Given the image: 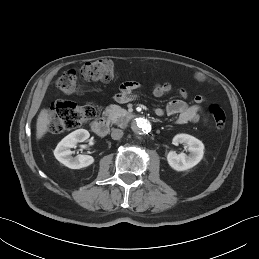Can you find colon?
Instances as JSON below:
<instances>
[{"instance_id": "obj_1", "label": "colon", "mask_w": 259, "mask_h": 259, "mask_svg": "<svg viewBox=\"0 0 259 259\" xmlns=\"http://www.w3.org/2000/svg\"><path fill=\"white\" fill-rule=\"evenodd\" d=\"M114 77L113 62L109 59H99L65 72L59 77L57 87L62 93L71 95L78 91L81 81L109 82ZM208 113L217 129L225 127L226 114L220 105L211 104ZM96 115L97 107L93 103L77 105L68 101H55L50 105L49 129L52 133H62L79 127Z\"/></svg>"}]
</instances>
